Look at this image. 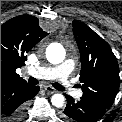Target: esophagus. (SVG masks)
<instances>
[{"instance_id": "obj_1", "label": "esophagus", "mask_w": 122, "mask_h": 122, "mask_svg": "<svg viewBox=\"0 0 122 122\" xmlns=\"http://www.w3.org/2000/svg\"><path fill=\"white\" fill-rule=\"evenodd\" d=\"M44 89H45V91H47L50 94H53V93H56L57 92L53 87H51L49 85H45L44 86Z\"/></svg>"}]
</instances>
